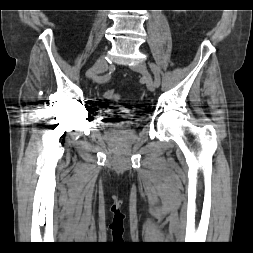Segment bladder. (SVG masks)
Instances as JSON below:
<instances>
[{
    "mask_svg": "<svg viewBox=\"0 0 253 253\" xmlns=\"http://www.w3.org/2000/svg\"><path fill=\"white\" fill-rule=\"evenodd\" d=\"M137 122L136 118H129L123 122L116 123L115 127L117 128H131Z\"/></svg>",
    "mask_w": 253,
    "mask_h": 253,
    "instance_id": "31cf9c89",
    "label": "bladder"
}]
</instances>
